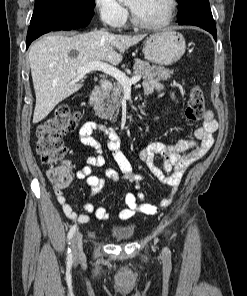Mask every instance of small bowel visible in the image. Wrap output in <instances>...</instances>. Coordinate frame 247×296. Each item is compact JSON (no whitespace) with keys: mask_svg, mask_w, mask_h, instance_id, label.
Instances as JSON below:
<instances>
[{"mask_svg":"<svg viewBox=\"0 0 247 296\" xmlns=\"http://www.w3.org/2000/svg\"><path fill=\"white\" fill-rule=\"evenodd\" d=\"M145 94L157 91L161 94L173 96L163 84L154 79H147L143 85ZM218 129V123L211 110H206L202 116V124L194 131L196 140H180L170 145L155 143L146 146L139 151V159L148 167L150 173L158 179L160 183L171 188L170 193L164 197L159 204L154 205L145 202V195L141 189V184L145 181V176L133 171L126 155L120 149V140L113 127L97 121H87L79 129L80 141L95 150V154L85 160L84 166L75 173L76 177L84 180L90 187V195L98 193L104 186L105 180L93 173L94 168L101 167L107 178L112 181L123 179L134 185V191H129L124 197V208L119 212L120 220L125 221L135 217L137 214L157 215L167 209L172 203L180 181L185 170L193 162L205 155L213 145V134ZM104 136L105 147L112 153L114 162L122 175L118 171L107 165L104 156L102 143L96 140L93 135ZM163 159L161 168L155 162V157ZM58 203L61 205L65 215L74 221L85 224L90 222V217L86 214H78L68 202L62 191L55 192ZM84 210L94 213L96 219L107 221L110 219L108 210L103 206H96L87 202Z\"/></svg>","mask_w":247,"mask_h":296,"instance_id":"small-bowel-1","label":"small bowel"}]
</instances>
